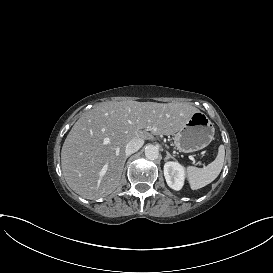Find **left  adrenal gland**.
Masks as SVG:
<instances>
[{"mask_svg": "<svg viewBox=\"0 0 273 273\" xmlns=\"http://www.w3.org/2000/svg\"><path fill=\"white\" fill-rule=\"evenodd\" d=\"M175 155H171L168 151H166V157L164 158V161H167L169 158L176 160Z\"/></svg>", "mask_w": 273, "mask_h": 273, "instance_id": "left-adrenal-gland-1", "label": "left adrenal gland"}]
</instances>
